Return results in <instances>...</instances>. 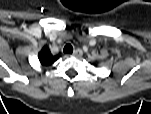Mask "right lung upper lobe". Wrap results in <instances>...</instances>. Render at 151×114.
<instances>
[{
    "label": "right lung upper lobe",
    "mask_w": 151,
    "mask_h": 114,
    "mask_svg": "<svg viewBox=\"0 0 151 114\" xmlns=\"http://www.w3.org/2000/svg\"><path fill=\"white\" fill-rule=\"evenodd\" d=\"M38 58H39L40 63L43 66H48L54 63L59 58V56L52 55L50 50L47 47H43L42 50L38 54Z\"/></svg>",
    "instance_id": "right-lung-upper-lobe-1"
}]
</instances>
